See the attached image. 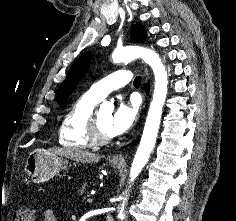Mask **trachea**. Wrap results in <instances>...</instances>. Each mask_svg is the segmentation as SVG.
<instances>
[{
	"label": "trachea",
	"mask_w": 236,
	"mask_h": 221,
	"mask_svg": "<svg viewBox=\"0 0 236 221\" xmlns=\"http://www.w3.org/2000/svg\"><path fill=\"white\" fill-rule=\"evenodd\" d=\"M141 84V76H137L135 79H134V85L135 86H140Z\"/></svg>",
	"instance_id": "obj_1"
}]
</instances>
